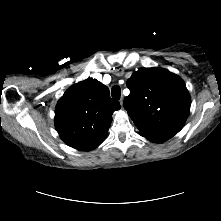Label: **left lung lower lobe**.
Masks as SVG:
<instances>
[{"instance_id": "left-lung-lower-lobe-1", "label": "left lung lower lobe", "mask_w": 221, "mask_h": 221, "mask_svg": "<svg viewBox=\"0 0 221 221\" xmlns=\"http://www.w3.org/2000/svg\"><path fill=\"white\" fill-rule=\"evenodd\" d=\"M140 134V133H139ZM141 136L147 138L148 140L152 141V142H164L163 140H159V139H156V138H153V137H149V136H144L142 134H140Z\"/></svg>"}]
</instances>
